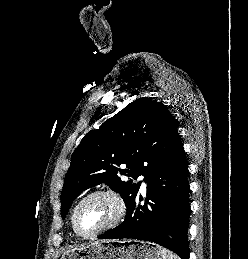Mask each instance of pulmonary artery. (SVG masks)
I'll use <instances>...</instances> for the list:
<instances>
[{"mask_svg": "<svg viewBox=\"0 0 248 259\" xmlns=\"http://www.w3.org/2000/svg\"><path fill=\"white\" fill-rule=\"evenodd\" d=\"M140 179L143 181V182H142V187L145 188V187H146V183H145L144 180H143V179H144L143 176H141Z\"/></svg>", "mask_w": 248, "mask_h": 259, "instance_id": "e3ab8cb5", "label": "pulmonary artery"}]
</instances>
